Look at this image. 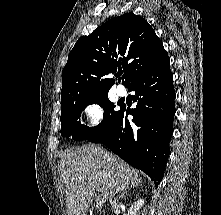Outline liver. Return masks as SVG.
<instances>
[{"mask_svg": "<svg viewBox=\"0 0 221 215\" xmlns=\"http://www.w3.org/2000/svg\"><path fill=\"white\" fill-rule=\"evenodd\" d=\"M58 170L68 215H84L95 190L104 200H109L120 190L142 185L138 170L93 144L66 150Z\"/></svg>", "mask_w": 221, "mask_h": 215, "instance_id": "1", "label": "liver"}]
</instances>
